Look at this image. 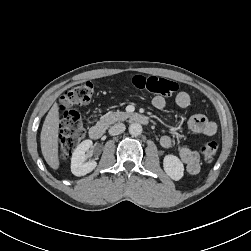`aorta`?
Masks as SVG:
<instances>
[{
	"label": "aorta",
	"instance_id": "obj_1",
	"mask_svg": "<svg viewBox=\"0 0 251 251\" xmlns=\"http://www.w3.org/2000/svg\"><path fill=\"white\" fill-rule=\"evenodd\" d=\"M129 133L132 136H139L142 133V126L139 123L130 124Z\"/></svg>",
	"mask_w": 251,
	"mask_h": 251
}]
</instances>
